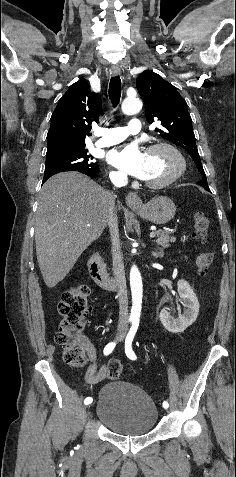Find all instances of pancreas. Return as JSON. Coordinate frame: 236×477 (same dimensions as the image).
<instances>
[{"label":"pancreas","instance_id":"cf45deb5","mask_svg":"<svg viewBox=\"0 0 236 477\" xmlns=\"http://www.w3.org/2000/svg\"><path fill=\"white\" fill-rule=\"evenodd\" d=\"M155 234L157 236L156 243L162 248H168L170 247V243H174L176 241L175 237L170 236L164 231L158 230L155 232Z\"/></svg>","mask_w":236,"mask_h":477}]
</instances>
